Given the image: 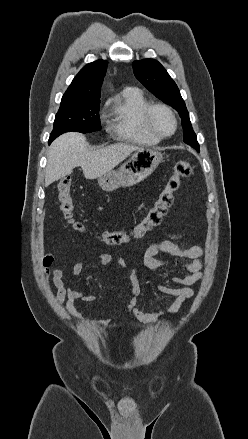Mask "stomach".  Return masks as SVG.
I'll use <instances>...</instances> for the list:
<instances>
[{
  "instance_id": "0dacf381",
  "label": "stomach",
  "mask_w": 248,
  "mask_h": 439,
  "mask_svg": "<svg viewBox=\"0 0 248 439\" xmlns=\"http://www.w3.org/2000/svg\"><path fill=\"white\" fill-rule=\"evenodd\" d=\"M162 159L163 155L159 151L149 147L141 148L118 171L111 170L99 176L98 184L104 191L133 186L150 176Z\"/></svg>"
}]
</instances>
